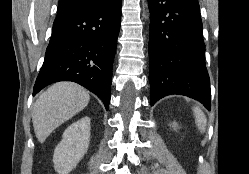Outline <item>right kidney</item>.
<instances>
[{"label":"right kidney","instance_id":"right-kidney-1","mask_svg":"<svg viewBox=\"0 0 249 174\" xmlns=\"http://www.w3.org/2000/svg\"><path fill=\"white\" fill-rule=\"evenodd\" d=\"M90 143V118L83 117L64 131L54 150V169L58 174H69L87 153Z\"/></svg>","mask_w":249,"mask_h":174}]
</instances>
